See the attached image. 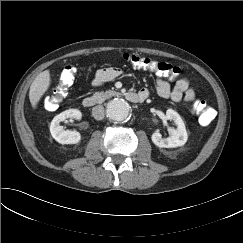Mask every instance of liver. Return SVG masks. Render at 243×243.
<instances>
[{
  "mask_svg": "<svg viewBox=\"0 0 243 243\" xmlns=\"http://www.w3.org/2000/svg\"><path fill=\"white\" fill-rule=\"evenodd\" d=\"M51 84L50 71L45 70L38 74L30 86L29 99L32 107L35 109L41 100V97L49 89Z\"/></svg>",
  "mask_w": 243,
  "mask_h": 243,
  "instance_id": "liver-1",
  "label": "liver"
}]
</instances>
